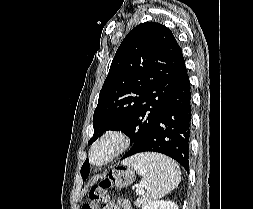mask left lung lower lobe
<instances>
[{"label":"left lung lower lobe","instance_id":"1","mask_svg":"<svg viewBox=\"0 0 253 209\" xmlns=\"http://www.w3.org/2000/svg\"><path fill=\"white\" fill-rule=\"evenodd\" d=\"M190 133L191 90L184 64L163 113L143 145L134 154L159 152L175 159L189 172Z\"/></svg>","mask_w":253,"mask_h":209}]
</instances>
